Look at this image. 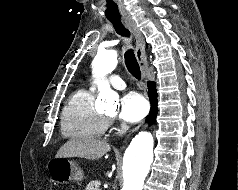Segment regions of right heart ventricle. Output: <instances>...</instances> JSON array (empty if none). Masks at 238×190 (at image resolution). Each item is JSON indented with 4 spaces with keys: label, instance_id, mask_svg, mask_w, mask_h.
Returning <instances> with one entry per match:
<instances>
[{
    "label": "right heart ventricle",
    "instance_id": "1",
    "mask_svg": "<svg viewBox=\"0 0 238 190\" xmlns=\"http://www.w3.org/2000/svg\"><path fill=\"white\" fill-rule=\"evenodd\" d=\"M107 127L108 120L94 107L93 90L75 91L62 111V134L72 138H98Z\"/></svg>",
    "mask_w": 238,
    "mask_h": 190
}]
</instances>
